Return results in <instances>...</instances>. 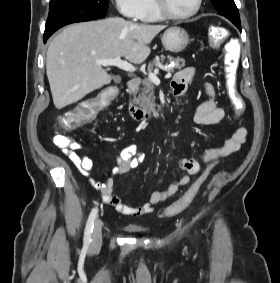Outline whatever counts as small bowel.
I'll return each mask as SVG.
<instances>
[{
    "mask_svg": "<svg viewBox=\"0 0 280 283\" xmlns=\"http://www.w3.org/2000/svg\"><path fill=\"white\" fill-rule=\"evenodd\" d=\"M194 75L195 70L191 67L177 72L171 85L172 93L174 95L183 94ZM204 90L206 92V99L197 108L194 120L199 125H216L223 120L225 112L222 108L217 106L212 86L205 83ZM246 136L247 129L243 126H239L235 132L225 140L222 146L204 150L198 159H179L177 164L179 168L183 170V176L172 182L167 189L152 192L149 201L140 206H130L123 203L113 192V176L124 174L137 168L142 161V155L133 144L126 145L121 149L116 157L117 165L113 168L111 176L103 183L93 182V186L100 191L103 202L112 206L118 213L130 217H140L153 212L155 205L167 201L175 195L181 187L189 184L191 177L201 173L202 162L212 163L238 151L245 142ZM67 156L84 176L92 180L94 163L91 157L79 155L75 150L68 152Z\"/></svg>",
    "mask_w": 280,
    "mask_h": 283,
    "instance_id": "1",
    "label": "small bowel"
}]
</instances>
